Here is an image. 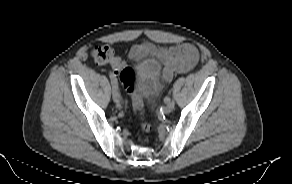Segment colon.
<instances>
[{
    "mask_svg": "<svg viewBox=\"0 0 292 184\" xmlns=\"http://www.w3.org/2000/svg\"><path fill=\"white\" fill-rule=\"evenodd\" d=\"M92 57L98 64H106L110 63L115 58V55L113 50L109 46L103 45L96 46L93 49ZM133 76L134 70L129 67H124L119 73L121 82L123 83L124 87L131 96L133 109L135 110L136 113L141 114L143 110V102L142 99L134 90ZM141 129L144 132H149L151 130V125L143 120L141 122Z\"/></svg>",
    "mask_w": 292,
    "mask_h": 184,
    "instance_id": "1",
    "label": "colon"
}]
</instances>
